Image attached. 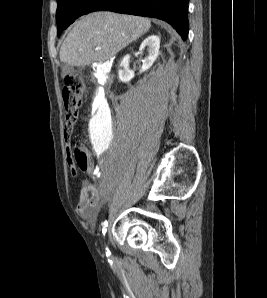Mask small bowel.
I'll use <instances>...</instances> for the list:
<instances>
[{"mask_svg": "<svg viewBox=\"0 0 267 298\" xmlns=\"http://www.w3.org/2000/svg\"><path fill=\"white\" fill-rule=\"evenodd\" d=\"M68 140L69 137L65 136ZM109 192H99L94 186L85 184L79 195L77 204L78 214L87 222L93 223L96 220L99 208L109 199Z\"/></svg>", "mask_w": 267, "mask_h": 298, "instance_id": "c3829d8e", "label": "small bowel"}]
</instances>
